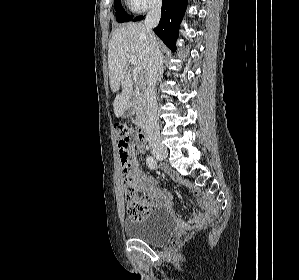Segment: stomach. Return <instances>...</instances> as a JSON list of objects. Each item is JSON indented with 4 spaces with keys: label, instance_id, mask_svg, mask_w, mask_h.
<instances>
[{
    "label": "stomach",
    "instance_id": "1",
    "mask_svg": "<svg viewBox=\"0 0 299 280\" xmlns=\"http://www.w3.org/2000/svg\"><path fill=\"white\" fill-rule=\"evenodd\" d=\"M133 114V110L130 108V106L125 110L124 116H130Z\"/></svg>",
    "mask_w": 299,
    "mask_h": 280
}]
</instances>
